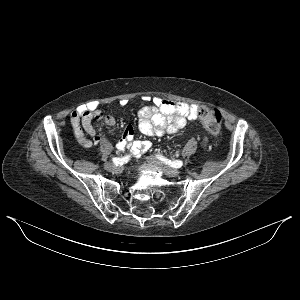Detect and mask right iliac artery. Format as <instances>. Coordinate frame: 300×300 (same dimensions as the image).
Listing matches in <instances>:
<instances>
[{"label":"right iliac artery","instance_id":"82829eb1","mask_svg":"<svg viewBox=\"0 0 300 300\" xmlns=\"http://www.w3.org/2000/svg\"><path fill=\"white\" fill-rule=\"evenodd\" d=\"M118 146V145H117ZM119 149V147H118ZM130 159V155H127V156H124V157H114L112 158V161L113 163L116 165V166H119V165H123L124 163H127Z\"/></svg>","mask_w":300,"mask_h":300}]
</instances>
